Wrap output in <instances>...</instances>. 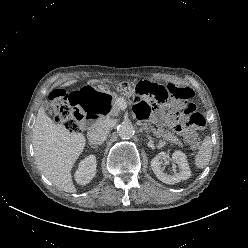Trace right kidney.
<instances>
[{
  "label": "right kidney",
  "mask_w": 248,
  "mask_h": 248,
  "mask_svg": "<svg viewBox=\"0 0 248 248\" xmlns=\"http://www.w3.org/2000/svg\"><path fill=\"white\" fill-rule=\"evenodd\" d=\"M96 157L89 155L79 163L78 169L74 173L75 181L80 185L88 184L96 175Z\"/></svg>",
  "instance_id": "right-kidney-1"
}]
</instances>
